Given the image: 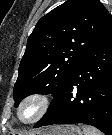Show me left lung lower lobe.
Returning a JSON list of instances; mask_svg holds the SVG:
<instances>
[{"label":"left lung lower lobe","instance_id":"1","mask_svg":"<svg viewBox=\"0 0 112 135\" xmlns=\"http://www.w3.org/2000/svg\"><path fill=\"white\" fill-rule=\"evenodd\" d=\"M76 123L112 135V25L84 56L34 128Z\"/></svg>","mask_w":112,"mask_h":135}]
</instances>
